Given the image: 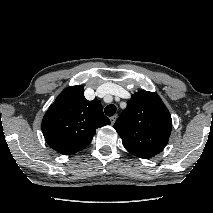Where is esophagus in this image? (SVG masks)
Masks as SVG:
<instances>
[{
    "mask_svg": "<svg viewBox=\"0 0 213 213\" xmlns=\"http://www.w3.org/2000/svg\"><path fill=\"white\" fill-rule=\"evenodd\" d=\"M117 119V115L110 117L111 124L113 125Z\"/></svg>",
    "mask_w": 213,
    "mask_h": 213,
    "instance_id": "esophagus-1",
    "label": "esophagus"
}]
</instances>
